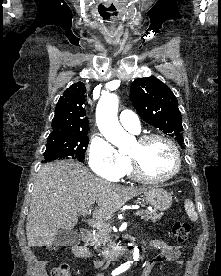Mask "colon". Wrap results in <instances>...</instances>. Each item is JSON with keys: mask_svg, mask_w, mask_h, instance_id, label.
Wrapping results in <instances>:
<instances>
[{"mask_svg": "<svg viewBox=\"0 0 221 276\" xmlns=\"http://www.w3.org/2000/svg\"><path fill=\"white\" fill-rule=\"evenodd\" d=\"M172 232L178 242H185L190 232V225L187 222L178 221L174 223ZM49 249L55 250L56 248L50 247ZM51 276H70L69 266L64 263L55 266L51 271Z\"/></svg>", "mask_w": 221, "mask_h": 276, "instance_id": "5ec220e1", "label": "colon"}]
</instances>
